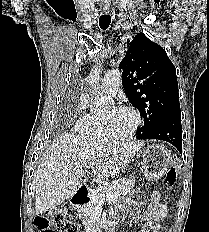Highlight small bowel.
Instances as JSON below:
<instances>
[{
  "label": "small bowel",
  "instance_id": "1",
  "mask_svg": "<svg viewBox=\"0 0 209 232\" xmlns=\"http://www.w3.org/2000/svg\"><path fill=\"white\" fill-rule=\"evenodd\" d=\"M142 190H145V185H134L133 199H143ZM127 213H131L130 208L126 209ZM116 215V212L113 213ZM167 217V208L162 203L160 193L156 190L152 191L149 202L146 208V227L138 232H161L160 223Z\"/></svg>",
  "mask_w": 209,
  "mask_h": 232
}]
</instances>
